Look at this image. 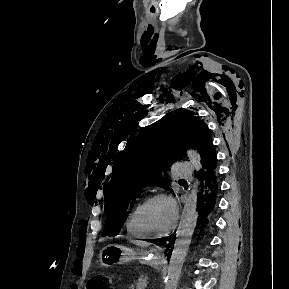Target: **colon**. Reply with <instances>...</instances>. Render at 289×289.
<instances>
[{"instance_id":"obj_1","label":"colon","mask_w":289,"mask_h":289,"mask_svg":"<svg viewBox=\"0 0 289 289\" xmlns=\"http://www.w3.org/2000/svg\"><path fill=\"white\" fill-rule=\"evenodd\" d=\"M86 289H109L107 280L100 275H96L89 279L86 285Z\"/></svg>"}]
</instances>
